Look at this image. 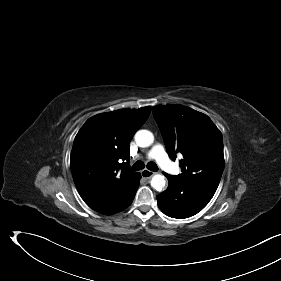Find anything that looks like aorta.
<instances>
[{
  "instance_id": "762f6f07",
  "label": "aorta",
  "mask_w": 281,
  "mask_h": 281,
  "mask_svg": "<svg viewBox=\"0 0 281 281\" xmlns=\"http://www.w3.org/2000/svg\"><path fill=\"white\" fill-rule=\"evenodd\" d=\"M135 141L140 147H148L154 142V136L148 130H139L135 134ZM150 183L155 190L160 192L165 187V177L161 174H156L152 177Z\"/></svg>"
}]
</instances>
